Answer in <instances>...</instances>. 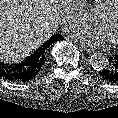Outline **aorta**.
Here are the masks:
<instances>
[{
    "instance_id": "aorta-1",
    "label": "aorta",
    "mask_w": 118,
    "mask_h": 118,
    "mask_svg": "<svg viewBox=\"0 0 118 118\" xmlns=\"http://www.w3.org/2000/svg\"><path fill=\"white\" fill-rule=\"evenodd\" d=\"M90 64L94 69H104L108 64V59L102 52H95L90 58Z\"/></svg>"
}]
</instances>
